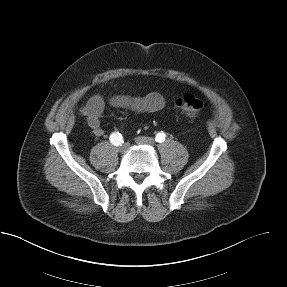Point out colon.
<instances>
[{
    "mask_svg": "<svg viewBox=\"0 0 287 287\" xmlns=\"http://www.w3.org/2000/svg\"><path fill=\"white\" fill-rule=\"evenodd\" d=\"M175 106L182 115L195 117L205 108V103L191 94H186L175 100Z\"/></svg>",
    "mask_w": 287,
    "mask_h": 287,
    "instance_id": "1",
    "label": "colon"
}]
</instances>
